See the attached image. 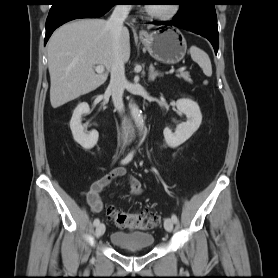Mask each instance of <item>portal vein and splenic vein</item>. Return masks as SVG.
Here are the masks:
<instances>
[{
    "mask_svg": "<svg viewBox=\"0 0 278 278\" xmlns=\"http://www.w3.org/2000/svg\"><path fill=\"white\" fill-rule=\"evenodd\" d=\"M185 70H186V67H181V68H179L177 71H178V72H183V71H185ZM95 71H96L97 73H102V72H104V67L101 66V65H98V66L95 67Z\"/></svg>",
    "mask_w": 278,
    "mask_h": 278,
    "instance_id": "obj_1",
    "label": "portal vein and splenic vein"
}]
</instances>
